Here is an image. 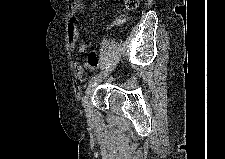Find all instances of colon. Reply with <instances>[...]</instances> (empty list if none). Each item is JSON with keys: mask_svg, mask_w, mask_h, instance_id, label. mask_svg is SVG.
<instances>
[{"mask_svg": "<svg viewBox=\"0 0 225 159\" xmlns=\"http://www.w3.org/2000/svg\"><path fill=\"white\" fill-rule=\"evenodd\" d=\"M72 4L76 3L77 0H71ZM138 0H125L127 9H134L137 6Z\"/></svg>", "mask_w": 225, "mask_h": 159, "instance_id": "5ec220e1", "label": "colon"}]
</instances>
